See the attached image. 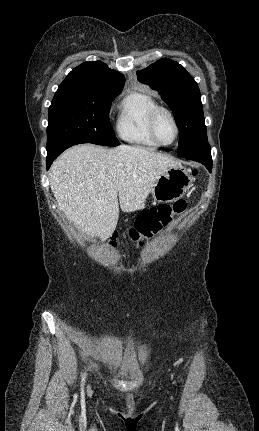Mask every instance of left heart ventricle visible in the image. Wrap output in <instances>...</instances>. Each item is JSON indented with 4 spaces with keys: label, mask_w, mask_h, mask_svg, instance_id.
<instances>
[{
    "label": "left heart ventricle",
    "mask_w": 259,
    "mask_h": 431,
    "mask_svg": "<svg viewBox=\"0 0 259 431\" xmlns=\"http://www.w3.org/2000/svg\"><path fill=\"white\" fill-rule=\"evenodd\" d=\"M156 133L159 140L163 143L171 142L175 135V129L172 120L164 112H161L157 117Z\"/></svg>",
    "instance_id": "1"
}]
</instances>
